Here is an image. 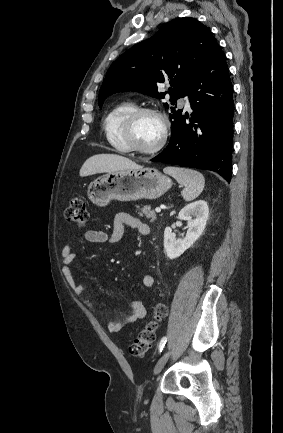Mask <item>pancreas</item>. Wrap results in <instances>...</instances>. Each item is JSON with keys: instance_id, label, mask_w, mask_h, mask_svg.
<instances>
[{"instance_id": "cf45deb5", "label": "pancreas", "mask_w": 283, "mask_h": 433, "mask_svg": "<svg viewBox=\"0 0 283 433\" xmlns=\"http://www.w3.org/2000/svg\"><path fill=\"white\" fill-rule=\"evenodd\" d=\"M139 208V206H138ZM139 217H146V219H151V223H154L156 221L157 217L155 214V210H151L150 204H146V206H142L140 208V212H138Z\"/></svg>"}]
</instances>
